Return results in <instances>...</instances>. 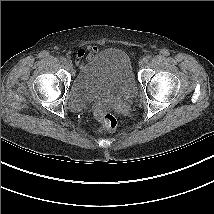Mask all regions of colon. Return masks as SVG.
<instances>
[{"mask_svg": "<svg viewBox=\"0 0 214 214\" xmlns=\"http://www.w3.org/2000/svg\"><path fill=\"white\" fill-rule=\"evenodd\" d=\"M96 115L102 124V131L110 132L114 131L117 128V119L104 106H98L96 110Z\"/></svg>", "mask_w": 214, "mask_h": 214, "instance_id": "1", "label": "colon"}]
</instances>
